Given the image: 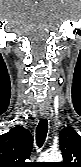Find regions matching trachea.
Wrapping results in <instances>:
<instances>
[{
    "label": "trachea",
    "instance_id": "obj_1",
    "mask_svg": "<svg viewBox=\"0 0 81 167\" xmlns=\"http://www.w3.org/2000/svg\"><path fill=\"white\" fill-rule=\"evenodd\" d=\"M48 132V121L46 118L40 120L36 129V143L38 147H41L45 142Z\"/></svg>",
    "mask_w": 81,
    "mask_h": 167
}]
</instances>
